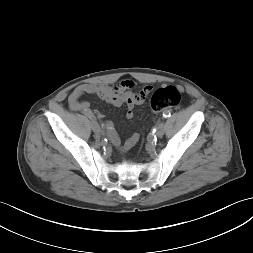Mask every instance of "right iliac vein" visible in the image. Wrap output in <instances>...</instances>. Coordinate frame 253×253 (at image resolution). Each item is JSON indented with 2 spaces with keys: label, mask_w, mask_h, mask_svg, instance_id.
Listing matches in <instances>:
<instances>
[{
  "label": "right iliac vein",
  "mask_w": 253,
  "mask_h": 253,
  "mask_svg": "<svg viewBox=\"0 0 253 253\" xmlns=\"http://www.w3.org/2000/svg\"><path fill=\"white\" fill-rule=\"evenodd\" d=\"M91 127L95 134L99 135L101 133L100 126L96 120H91Z\"/></svg>",
  "instance_id": "1"
}]
</instances>
